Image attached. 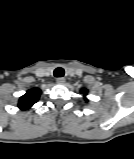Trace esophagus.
Masks as SVG:
<instances>
[{"label": "esophagus", "instance_id": "1", "mask_svg": "<svg viewBox=\"0 0 134 159\" xmlns=\"http://www.w3.org/2000/svg\"><path fill=\"white\" fill-rule=\"evenodd\" d=\"M56 82H57L58 84H63V83H65V78H64V77H58V78L56 79Z\"/></svg>", "mask_w": 134, "mask_h": 159}]
</instances>
